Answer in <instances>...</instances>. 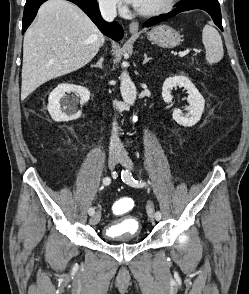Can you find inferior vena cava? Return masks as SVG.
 <instances>
[{"mask_svg": "<svg viewBox=\"0 0 249 294\" xmlns=\"http://www.w3.org/2000/svg\"><path fill=\"white\" fill-rule=\"evenodd\" d=\"M100 11L102 17L108 21L111 22L115 19L117 15L116 11V3L114 0H101L100 2ZM114 107H118L117 101L113 102ZM120 146V139L118 137L117 128L114 126L112 129L111 139H110V147L116 148Z\"/></svg>", "mask_w": 249, "mask_h": 294, "instance_id": "inferior-vena-cava-1", "label": "inferior vena cava"}]
</instances>
